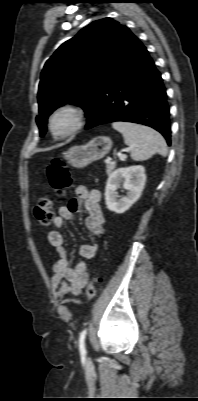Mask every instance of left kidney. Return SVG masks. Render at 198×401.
<instances>
[{
	"label": "left kidney",
	"mask_w": 198,
	"mask_h": 401,
	"mask_svg": "<svg viewBox=\"0 0 198 401\" xmlns=\"http://www.w3.org/2000/svg\"><path fill=\"white\" fill-rule=\"evenodd\" d=\"M146 182V174L143 166L136 165L126 168H118L110 174L105 188V202L110 211L122 214L127 211L141 196ZM122 183L127 190V196L120 199L116 196V190Z\"/></svg>",
	"instance_id": "1"
}]
</instances>
